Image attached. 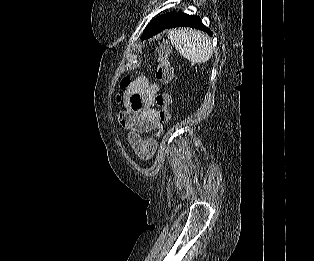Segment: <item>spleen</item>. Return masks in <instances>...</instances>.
<instances>
[{
	"instance_id": "3e777b00",
	"label": "spleen",
	"mask_w": 314,
	"mask_h": 261,
	"mask_svg": "<svg viewBox=\"0 0 314 261\" xmlns=\"http://www.w3.org/2000/svg\"><path fill=\"white\" fill-rule=\"evenodd\" d=\"M168 37L180 55L191 63H205L213 54L211 40L201 32L174 29L169 32Z\"/></svg>"
}]
</instances>
